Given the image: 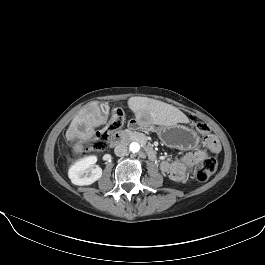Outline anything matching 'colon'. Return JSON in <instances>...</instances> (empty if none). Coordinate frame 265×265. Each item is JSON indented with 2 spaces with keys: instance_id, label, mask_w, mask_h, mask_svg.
Wrapping results in <instances>:
<instances>
[{
  "instance_id": "obj_1",
  "label": "colon",
  "mask_w": 265,
  "mask_h": 265,
  "mask_svg": "<svg viewBox=\"0 0 265 265\" xmlns=\"http://www.w3.org/2000/svg\"><path fill=\"white\" fill-rule=\"evenodd\" d=\"M125 122V114L122 109H113L105 118V127L98 131L90 141V146L102 149L106 146L112 131L123 127ZM195 128L207 139L208 127L203 122H196ZM219 158L216 154L206 156L202 162L195 168L194 177L199 182H206L217 170Z\"/></svg>"
}]
</instances>
